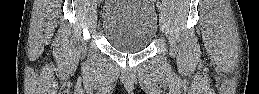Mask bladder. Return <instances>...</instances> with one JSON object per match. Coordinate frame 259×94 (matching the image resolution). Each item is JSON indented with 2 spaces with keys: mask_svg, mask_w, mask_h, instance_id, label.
I'll list each match as a JSON object with an SVG mask.
<instances>
[{
  "mask_svg": "<svg viewBox=\"0 0 259 94\" xmlns=\"http://www.w3.org/2000/svg\"><path fill=\"white\" fill-rule=\"evenodd\" d=\"M101 30L115 49L139 52L157 35V13L149 0H108L102 12Z\"/></svg>",
  "mask_w": 259,
  "mask_h": 94,
  "instance_id": "bladder-1",
  "label": "bladder"
}]
</instances>
